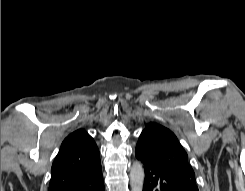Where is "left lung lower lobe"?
Returning a JSON list of instances; mask_svg holds the SVG:
<instances>
[{"label":"left lung lower lobe","mask_w":245,"mask_h":191,"mask_svg":"<svg viewBox=\"0 0 245 191\" xmlns=\"http://www.w3.org/2000/svg\"><path fill=\"white\" fill-rule=\"evenodd\" d=\"M135 155L144 169L143 191H199L196 183Z\"/></svg>","instance_id":"left-lung-lower-lobe-1"}]
</instances>
